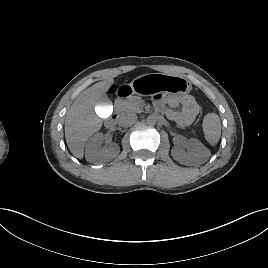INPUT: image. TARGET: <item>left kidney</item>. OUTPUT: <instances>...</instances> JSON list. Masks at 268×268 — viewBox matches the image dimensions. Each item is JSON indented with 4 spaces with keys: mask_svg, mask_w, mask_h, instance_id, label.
I'll list each match as a JSON object with an SVG mask.
<instances>
[{
    "mask_svg": "<svg viewBox=\"0 0 268 268\" xmlns=\"http://www.w3.org/2000/svg\"><path fill=\"white\" fill-rule=\"evenodd\" d=\"M171 155L180 163L197 164L205 162L210 152L198 139L191 138L188 141L177 139L171 149Z\"/></svg>",
    "mask_w": 268,
    "mask_h": 268,
    "instance_id": "obj_1",
    "label": "left kidney"
}]
</instances>
